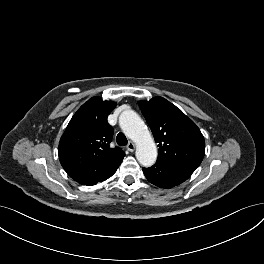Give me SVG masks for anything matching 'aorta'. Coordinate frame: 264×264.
Here are the masks:
<instances>
[{"instance_id":"762f6f07","label":"aorta","mask_w":264,"mask_h":264,"mask_svg":"<svg viewBox=\"0 0 264 264\" xmlns=\"http://www.w3.org/2000/svg\"><path fill=\"white\" fill-rule=\"evenodd\" d=\"M119 125L125 135L136 143L138 162L144 167L152 166L157 159V148L140 116L132 110H126L119 117Z\"/></svg>"}]
</instances>
